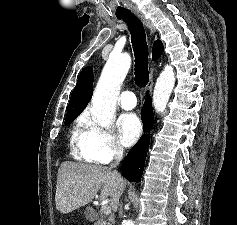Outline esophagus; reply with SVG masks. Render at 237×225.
I'll return each instance as SVG.
<instances>
[{
  "mask_svg": "<svg viewBox=\"0 0 237 225\" xmlns=\"http://www.w3.org/2000/svg\"><path fill=\"white\" fill-rule=\"evenodd\" d=\"M132 12L142 21V23L148 28L150 35L153 37L156 33L155 27L152 22L138 9H133ZM153 86V68H151L150 72V81L148 84V89H151Z\"/></svg>",
  "mask_w": 237,
  "mask_h": 225,
  "instance_id": "esophagus-1",
  "label": "esophagus"
}]
</instances>
